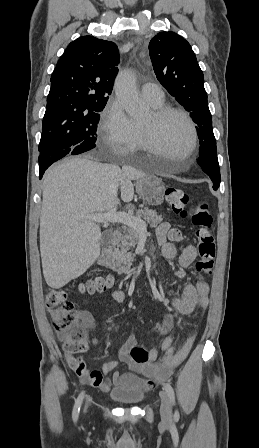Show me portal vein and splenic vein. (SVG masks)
Wrapping results in <instances>:
<instances>
[{
	"mask_svg": "<svg viewBox=\"0 0 259 448\" xmlns=\"http://www.w3.org/2000/svg\"><path fill=\"white\" fill-rule=\"evenodd\" d=\"M88 220H93V222H100V224H125L129 226L132 230H137L139 234L141 232H147V226L143 220L140 218H134L132 214H125V212H115V210H109L106 214H85Z\"/></svg>",
	"mask_w": 259,
	"mask_h": 448,
	"instance_id": "portal-vein-and-splenic-vein-1",
	"label": "portal vein and splenic vein"
}]
</instances>
